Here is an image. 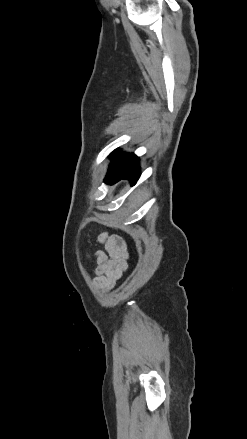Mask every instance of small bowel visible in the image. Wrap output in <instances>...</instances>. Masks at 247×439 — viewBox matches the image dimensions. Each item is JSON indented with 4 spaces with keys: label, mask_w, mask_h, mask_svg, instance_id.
<instances>
[{
    "label": "small bowel",
    "mask_w": 247,
    "mask_h": 439,
    "mask_svg": "<svg viewBox=\"0 0 247 439\" xmlns=\"http://www.w3.org/2000/svg\"><path fill=\"white\" fill-rule=\"evenodd\" d=\"M99 241L104 246L106 253L97 251L95 283L102 289L109 290L122 277L128 268L129 254L125 241L119 236L101 234Z\"/></svg>",
    "instance_id": "c3829d8e"
}]
</instances>
